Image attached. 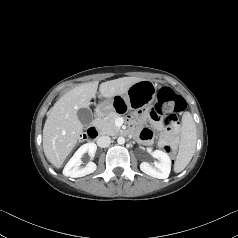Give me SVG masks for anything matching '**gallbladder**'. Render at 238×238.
Returning a JSON list of instances; mask_svg holds the SVG:
<instances>
[{"instance_id":"bac80fb5","label":"gallbladder","mask_w":238,"mask_h":238,"mask_svg":"<svg viewBox=\"0 0 238 238\" xmlns=\"http://www.w3.org/2000/svg\"><path fill=\"white\" fill-rule=\"evenodd\" d=\"M78 119L82 123V125L87 126L93 121L92 113L85 108L79 109L77 112Z\"/></svg>"}]
</instances>
